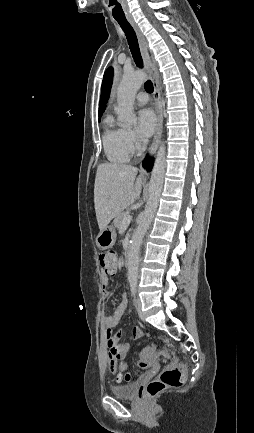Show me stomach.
<instances>
[{
	"label": "stomach",
	"mask_w": 254,
	"mask_h": 433,
	"mask_svg": "<svg viewBox=\"0 0 254 433\" xmlns=\"http://www.w3.org/2000/svg\"><path fill=\"white\" fill-rule=\"evenodd\" d=\"M116 241V231L114 227L108 226L101 230L96 238L97 246L101 249H107L114 245Z\"/></svg>",
	"instance_id": "1"
}]
</instances>
